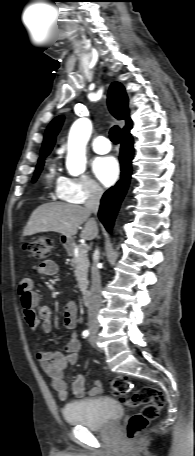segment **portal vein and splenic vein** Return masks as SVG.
<instances>
[{
  "label": "portal vein and splenic vein",
  "mask_w": 195,
  "mask_h": 456,
  "mask_svg": "<svg viewBox=\"0 0 195 456\" xmlns=\"http://www.w3.org/2000/svg\"><path fill=\"white\" fill-rule=\"evenodd\" d=\"M81 251L86 253L88 251V246L86 244L81 245Z\"/></svg>",
  "instance_id": "obj_1"
}]
</instances>
